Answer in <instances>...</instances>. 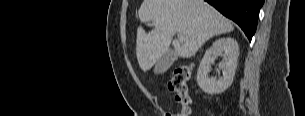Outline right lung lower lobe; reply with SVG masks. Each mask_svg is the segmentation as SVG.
I'll list each match as a JSON object with an SVG mask.
<instances>
[{
  "label": "right lung lower lobe",
  "mask_w": 305,
  "mask_h": 116,
  "mask_svg": "<svg viewBox=\"0 0 305 116\" xmlns=\"http://www.w3.org/2000/svg\"><path fill=\"white\" fill-rule=\"evenodd\" d=\"M224 16L236 22L249 40L256 31L258 15L264 0H205Z\"/></svg>",
  "instance_id": "obj_1"
}]
</instances>
